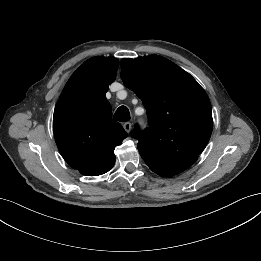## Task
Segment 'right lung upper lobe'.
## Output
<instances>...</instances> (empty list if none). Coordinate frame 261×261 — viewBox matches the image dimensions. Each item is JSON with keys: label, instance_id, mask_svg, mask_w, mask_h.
I'll use <instances>...</instances> for the list:
<instances>
[{"label": "right lung upper lobe", "instance_id": "right-lung-upper-lobe-1", "mask_svg": "<svg viewBox=\"0 0 261 261\" xmlns=\"http://www.w3.org/2000/svg\"><path fill=\"white\" fill-rule=\"evenodd\" d=\"M118 66L113 57L85 61L68 80L54 110L57 147L64 160L83 175L108 172L115 163V147L127 137L121 124L112 119L105 96Z\"/></svg>", "mask_w": 261, "mask_h": 261}]
</instances>
